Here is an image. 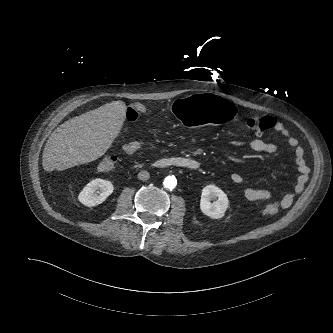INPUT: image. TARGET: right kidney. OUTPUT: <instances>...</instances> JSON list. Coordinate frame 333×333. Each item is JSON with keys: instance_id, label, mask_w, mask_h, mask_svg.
I'll use <instances>...</instances> for the list:
<instances>
[{"instance_id": "1", "label": "right kidney", "mask_w": 333, "mask_h": 333, "mask_svg": "<svg viewBox=\"0 0 333 333\" xmlns=\"http://www.w3.org/2000/svg\"><path fill=\"white\" fill-rule=\"evenodd\" d=\"M113 190L114 186L110 181L97 178L83 188L78 198L82 204L91 207L104 202Z\"/></svg>"}]
</instances>
